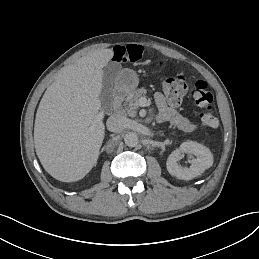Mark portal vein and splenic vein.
Instances as JSON below:
<instances>
[{"label":"portal vein and splenic vein","mask_w":259,"mask_h":259,"mask_svg":"<svg viewBox=\"0 0 259 259\" xmlns=\"http://www.w3.org/2000/svg\"><path fill=\"white\" fill-rule=\"evenodd\" d=\"M143 102H147V100H146L145 97H142V98L139 99V104H141V103H143ZM141 106L144 107L145 104H142ZM103 116H104V113L101 112V113L99 114V117L96 116V120H97V121H100V120L103 118Z\"/></svg>","instance_id":"1"}]
</instances>
